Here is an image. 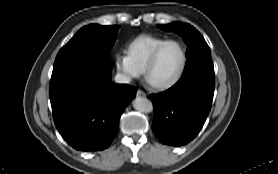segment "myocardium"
Returning a JSON list of instances; mask_svg holds the SVG:
<instances>
[{"label": "myocardium", "mask_w": 278, "mask_h": 174, "mask_svg": "<svg viewBox=\"0 0 278 174\" xmlns=\"http://www.w3.org/2000/svg\"><path fill=\"white\" fill-rule=\"evenodd\" d=\"M171 43H175L177 45L180 46L181 48V52H182V61H181V65H180V68L178 70V72L175 74V76L173 78H171L170 80L168 81H165V82H153L151 79H150V72L161 52V50L168 44H171ZM186 64H187V50H186V47L185 45L179 41V40H174V39H170V40H166L164 41L163 43H161L154 51L153 53L151 54L147 64H146V67L144 69V77H145V80L154 88L156 89H160V90H163V89H168L172 86H174L180 79L181 77L183 76L184 74V71H185V68H186Z\"/></svg>", "instance_id": "myocardium-1"}]
</instances>
